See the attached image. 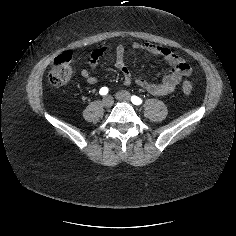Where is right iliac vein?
<instances>
[{
  "label": "right iliac vein",
  "instance_id": "obj_1",
  "mask_svg": "<svg viewBox=\"0 0 236 236\" xmlns=\"http://www.w3.org/2000/svg\"><path fill=\"white\" fill-rule=\"evenodd\" d=\"M113 98L111 96H105L102 100V104L105 108H110L113 105Z\"/></svg>",
  "mask_w": 236,
  "mask_h": 236
}]
</instances>
